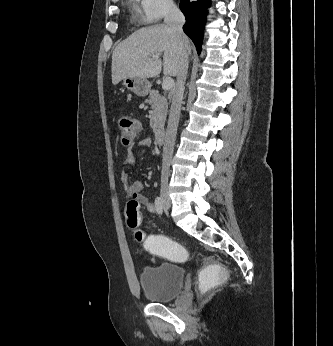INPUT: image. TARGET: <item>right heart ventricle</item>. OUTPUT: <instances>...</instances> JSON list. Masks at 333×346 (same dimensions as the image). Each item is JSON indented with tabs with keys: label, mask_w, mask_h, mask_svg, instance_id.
Listing matches in <instances>:
<instances>
[{
	"label": "right heart ventricle",
	"mask_w": 333,
	"mask_h": 346,
	"mask_svg": "<svg viewBox=\"0 0 333 346\" xmlns=\"http://www.w3.org/2000/svg\"><path fill=\"white\" fill-rule=\"evenodd\" d=\"M130 2H131V3H135V2H136V0H130Z\"/></svg>",
	"instance_id": "1"
}]
</instances>
